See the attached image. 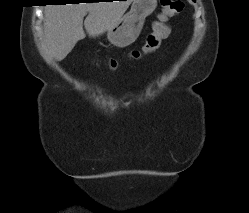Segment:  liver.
Returning a JSON list of instances; mask_svg holds the SVG:
<instances>
[{
    "instance_id": "6515ba94",
    "label": "liver",
    "mask_w": 249,
    "mask_h": 213,
    "mask_svg": "<svg viewBox=\"0 0 249 213\" xmlns=\"http://www.w3.org/2000/svg\"><path fill=\"white\" fill-rule=\"evenodd\" d=\"M133 0L47 5L44 10L45 45L57 61L63 60L79 40L103 34L114 27Z\"/></svg>"
}]
</instances>
